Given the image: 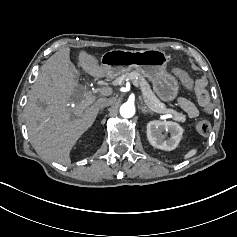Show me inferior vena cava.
Listing matches in <instances>:
<instances>
[{
	"instance_id": "602c4592",
	"label": "inferior vena cava",
	"mask_w": 237,
	"mask_h": 237,
	"mask_svg": "<svg viewBox=\"0 0 237 237\" xmlns=\"http://www.w3.org/2000/svg\"><path fill=\"white\" fill-rule=\"evenodd\" d=\"M115 103V98H104L101 102V108L111 106Z\"/></svg>"
}]
</instances>
